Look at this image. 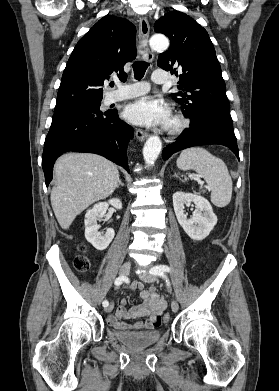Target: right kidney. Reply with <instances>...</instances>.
<instances>
[{"label":"right kidney","instance_id":"obj_1","mask_svg":"<svg viewBox=\"0 0 279 391\" xmlns=\"http://www.w3.org/2000/svg\"><path fill=\"white\" fill-rule=\"evenodd\" d=\"M109 205L118 210L122 209L121 200L119 198H112L107 202L95 204L85 215V238L97 250H105L115 236V232L112 228L107 229L105 234L98 231L99 225L97 224V221L105 215Z\"/></svg>","mask_w":279,"mask_h":391}]
</instances>
